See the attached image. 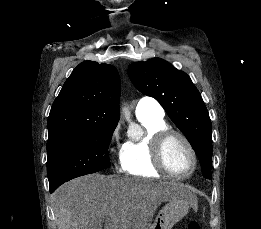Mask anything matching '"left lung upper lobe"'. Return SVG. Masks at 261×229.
Wrapping results in <instances>:
<instances>
[{"label": "left lung upper lobe", "instance_id": "left-lung-upper-lobe-1", "mask_svg": "<svg viewBox=\"0 0 261 229\" xmlns=\"http://www.w3.org/2000/svg\"><path fill=\"white\" fill-rule=\"evenodd\" d=\"M134 86L155 98L196 152L205 178L211 179V121L190 77L161 58L134 62L128 67Z\"/></svg>", "mask_w": 261, "mask_h": 229}]
</instances>
